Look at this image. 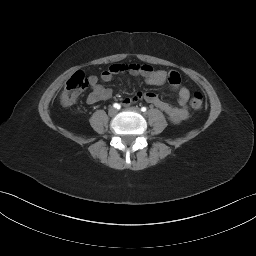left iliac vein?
<instances>
[{
  "mask_svg": "<svg viewBox=\"0 0 256 256\" xmlns=\"http://www.w3.org/2000/svg\"><path fill=\"white\" fill-rule=\"evenodd\" d=\"M127 110L134 111V112H137V113L140 112V109L138 107H129V108H127Z\"/></svg>",
  "mask_w": 256,
  "mask_h": 256,
  "instance_id": "4c4485c4",
  "label": "left iliac vein"
}]
</instances>
